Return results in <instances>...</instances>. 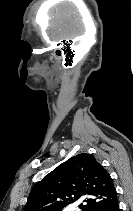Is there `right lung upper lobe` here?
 Wrapping results in <instances>:
<instances>
[{"mask_svg":"<svg viewBox=\"0 0 133 211\" xmlns=\"http://www.w3.org/2000/svg\"><path fill=\"white\" fill-rule=\"evenodd\" d=\"M86 197L84 211H103L117 202V192L107 170L90 154L71 157L38 182L24 211H61Z\"/></svg>","mask_w":133,"mask_h":211,"instance_id":"1","label":"right lung upper lobe"}]
</instances>
